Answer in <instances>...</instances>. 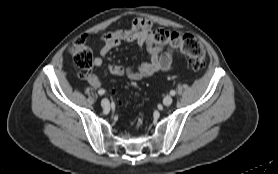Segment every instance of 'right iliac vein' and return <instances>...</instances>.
<instances>
[{"label":"right iliac vein","instance_id":"63e3f726","mask_svg":"<svg viewBox=\"0 0 278 174\" xmlns=\"http://www.w3.org/2000/svg\"><path fill=\"white\" fill-rule=\"evenodd\" d=\"M101 106H102L104 109H109V107H110V102H109V100H108V99H103V100L101 101Z\"/></svg>","mask_w":278,"mask_h":174}]
</instances>
